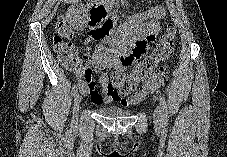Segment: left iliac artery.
Returning a JSON list of instances; mask_svg holds the SVG:
<instances>
[{"label":"left iliac artery","mask_w":227,"mask_h":157,"mask_svg":"<svg viewBox=\"0 0 227 157\" xmlns=\"http://www.w3.org/2000/svg\"><path fill=\"white\" fill-rule=\"evenodd\" d=\"M159 100H160L161 118L164 120L165 118H167L166 101H165V98L161 95L159 97Z\"/></svg>","instance_id":"44dca946"}]
</instances>
